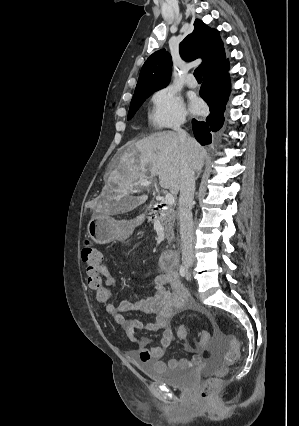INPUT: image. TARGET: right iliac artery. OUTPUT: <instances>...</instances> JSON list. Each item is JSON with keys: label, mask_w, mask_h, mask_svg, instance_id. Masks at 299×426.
<instances>
[{"label": "right iliac artery", "mask_w": 299, "mask_h": 426, "mask_svg": "<svg viewBox=\"0 0 299 426\" xmlns=\"http://www.w3.org/2000/svg\"><path fill=\"white\" fill-rule=\"evenodd\" d=\"M179 272H180V275H181L182 277H184V276L186 275L185 267H184V266H181V267H180Z\"/></svg>", "instance_id": "obj_1"}]
</instances>
